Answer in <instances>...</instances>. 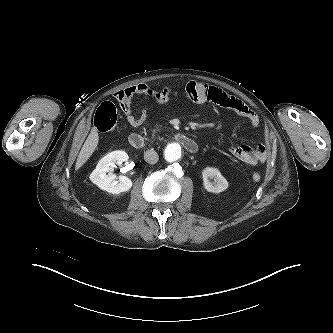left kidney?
Instances as JSON below:
<instances>
[{
  "instance_id": "left-kidney-1",
  "label": "left kidney",
  "mask_w": 333,
  "mask_h": 333,
  "mask_svg": "<svg viewBox=\"0 0 333 333\" xmlns=\"http://www.w3.org/2000/svg\"><path fill=\"white\" fill-rule=\"evenodd\" d=\"M203 186L208 192L220 193L228 188L227 180L221 175L217 168L206 167L202 171ZM214 179L215 182H210Z\"/></svg>"
}]
</instances>
